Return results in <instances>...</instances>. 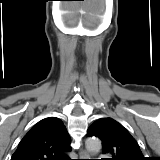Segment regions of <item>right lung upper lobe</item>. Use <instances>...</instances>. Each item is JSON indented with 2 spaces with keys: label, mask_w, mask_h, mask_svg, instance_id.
I'll return each mask as SVG.
<instances>
[{
  "label": "right lung upper lobe",
  "mask_w": 160,
  "mask_h": 160,
  "mask_svg": "<svg viewBox=\"0 0 160 160\" xmlns=\"http://www.w3.org/2000/svg\"><path fill=\"white\" fill-rule=\"evenodd\" d=\"M70 136L56 117L39 121L20 141L11 160H71Z\"/></svg>",
  "instance_id": "1"
}]
</instances>
